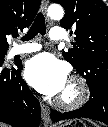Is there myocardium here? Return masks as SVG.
<instances>
[{"label": "myocardium", "mask_w": 108, "mask_h": 127, "mask_svg": "<svg viewBox=\"0 0 108 127\" xmlns=\"http://www.w3.org/2000/svg\"><path fill=\"white\" fill-rule=\"evenodd\" d=\"M68 84L72 88V94L70 96H58L56 103L65 110L78 109L82 107L88 99L89 90L87 83L82 77L72 75L68 80Z\"/></svg>", "instance_id": "myocardium-1"}]
</instances>
